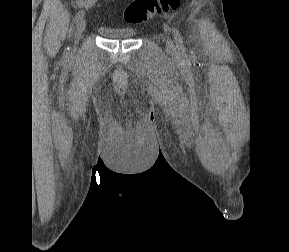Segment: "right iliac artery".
<instances>
[{
  "mask_svg": "<svg viewBox=\"0 0 289 252\" xmlns=\"http://www.w3.org/2000/svg\"><path fill=\"white\" fill-rule=\"evenodd\" d=\"M84 11L83 10H80L76 13V16H75V22L77 23L80 19H82L84 17ZM67 50H69V48H67Z\"/></svg>",
  "mask_w": 289,
  "mask_h": 252,
  "instance_id": "1",
  "label": "right iliac artery"
}]
</instances>
